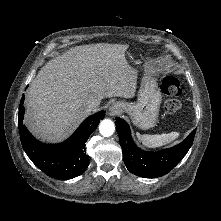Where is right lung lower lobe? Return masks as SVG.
Masks as SVG:
<instances>
[{"instance_id":"1","label":"right lung lower lobe","mask_w":221,"mask_h":221,"mask_svg":"<svg viewBox=\"0 0 221 221\" xmlns=\"http://www.w3.org/2000/svg\"><path fill=\"white\" fill-rule=\"evenodd\" d=\"M23 102L24 95L19 107L18 127L27 156L40 170L54 179L67 180L81 175L89 166L85 143L104 118L105 112L100 111L88 117L65 142L45 144L36 140L23 124L25 113Z\"/></svg>"}]
</instances>
